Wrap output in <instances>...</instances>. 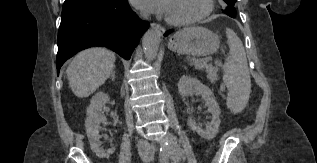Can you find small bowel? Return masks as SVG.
<instances>
[{
    "instance_id": "obj_1",
    "label": "small bowel",
    "mask_w": 317,
    "mask_h": 163,
    "mask_svg": "<svg viewBox=\"0 0 317 163\" xmlns=\"http://www.w3.org/2000/svg\"><path fill=\"white\" fill-rule=\"evenodd\" d=\"M176 156L178 157V155H176ZM178 159H179V157H178ZM173 161H174V162H177L178 160H173ZM161 163H169V160H165V159H164V160L161 161Z\"/></svg>"
}]
</instances>
